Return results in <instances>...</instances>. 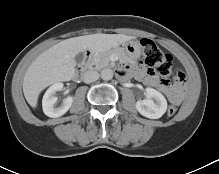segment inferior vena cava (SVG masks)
I'll use <instances>...</instances> for the list:
<instances>
[{
	"label": "inferior vena cava",
	"instance_id": "obj_1",
	"mask_svg": "<svg viewBox=\"0 0 219 174\" xmlns=\"http://www.w3.org/2000/svg\"><path fill=\"white\" fill-rule=\"evenodd\" d=\"M83 82L91 83L99 79V73L95 70H88L83 74Z\"/></svg>",
	"mask_w": 219,
	"mask_h": 174
}]
</instances>
